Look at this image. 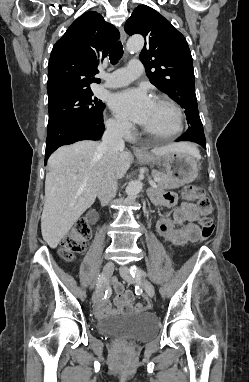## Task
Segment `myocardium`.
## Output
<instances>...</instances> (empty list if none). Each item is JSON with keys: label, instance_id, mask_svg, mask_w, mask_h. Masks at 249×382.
I'll return each instance as SVG.
<instances>
[{"label": "myocardium", "instance_id": "f54148a6", "mask_svg": "<svg viewBox=\"0 0 249 382\" xmlns=\"http://www.w3.org/2000/svg\"><path fill=\"white\" fill-rule=\"evenodd\" d=\"M155 101L168 105L174 111L175 116H176V129L173 133L168 134V135H157V134H154V133L146 130L143 127H142V131L147 136L152 137V138L157 139V140H161V141L173 140L176 137H178L181 134V132L183 131V127H184L183 112H182L180 106L176 102H174L172 99H170L166 96H159L156 98Z\"/></svg>", "mask_w": 249, "mask_h": 382}]
</instances>
